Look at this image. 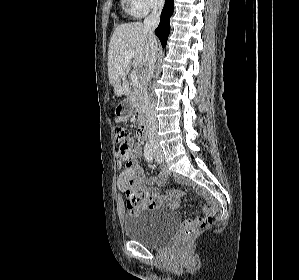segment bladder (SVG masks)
Returning a JSON list of instances; mask_svg holds the SVG:
<instances>
[{
	"instance_id": "1",
	"label": "bladder",
	"mask_w": 299,
	"mask_h": 280,
	"mask_svg": "<svg viewBox=\"0 0 299 280\" xmlns=\"http://www.w3.org/2000/svg\"><path fill=\"white\" fill-rule=\"evenodd\" d=\"M177 225L176 215L164 208H147L123 219L126 237L150 248L166 245Z\"/></svg>"
}]
</instances>
